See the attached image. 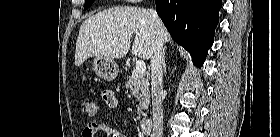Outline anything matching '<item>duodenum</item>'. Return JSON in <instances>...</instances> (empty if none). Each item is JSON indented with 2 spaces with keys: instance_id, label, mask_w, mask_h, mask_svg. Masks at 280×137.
<instances>
[{
  "instance_id": "duodenum-1",
  "label": "duodenum",
  "mask_w": 280,
  "mask_h": 137,
  "mask_svg": "<svg viewBox=\"0 0 280 137\" xmlns=\"http://www.w3.org/2000/svg\"><path fill=\"white\" fill-rule=\"evenodd\" d=\"M153 121L151 119H146L142 122L140 129L145 134H150L152 132Z\"/></svg>"
}]
</instances>
